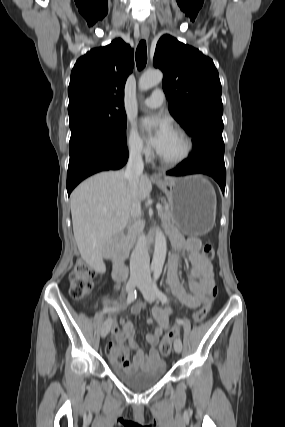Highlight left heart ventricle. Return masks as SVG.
I'll list each match as a JSON object with an SVG mask.
<instances>
[{
	"label": "left heart ventricle",
	"mask_w": 285,
	"mask_h": 427,
	"mask_svg": "<svg viewBox=\"0 0 285 427\" xmlns=\"http://www.w3.org/2000/svg\"><path fill=\"white\" fill-rule=\"evenodd\" d=\"M185 149L183 139L172 131L157 153L165 159H176L181 156Z\"/></svg>",
	"instance_id": "left-heart-ventricle-1"
}]
</instances>
